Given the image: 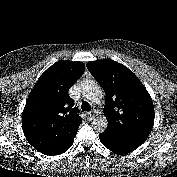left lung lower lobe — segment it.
<instances>
[{"label": "left lung lower lobe", "mask_w": 177, "mask_h": 177, "mask_svg": "<svg viewBox=\"0 0 177 177\" xmlns=\"http://www.w3.org/2000/svg\"><path fill=\"white\" fill-rule=\"evenodd\" d=\"M108 146H110L109 148L113 151H117V152H122V151H125V150H129L130 148L129 147H126V146H119L117 143H107ZM105 146H107L105 144Z\"/></svg>", "instance_id": "1"}]
</instances>
